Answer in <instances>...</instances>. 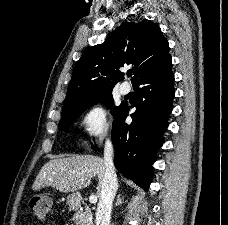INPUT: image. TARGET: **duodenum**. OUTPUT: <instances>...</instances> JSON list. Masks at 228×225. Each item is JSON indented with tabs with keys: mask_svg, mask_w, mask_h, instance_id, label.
Listing matches in <instances>:
<instances>
[{
	"mask_svg": "<svg viewBox=\"0 0 228 225\" xmlns=\"http://www.w3.org/2000/svg\"><path fill=\"white\" fill-rule=\"evenodd\" d=\"M71 201H72V203L76 204L78 201V198L73 195V196H71Z\"/></svg>",
	"mask_w": 228,
	"mask_h": 225,
	"instance_id": "410a0bca",
	"label": "duodenum"
}]
</instances>
